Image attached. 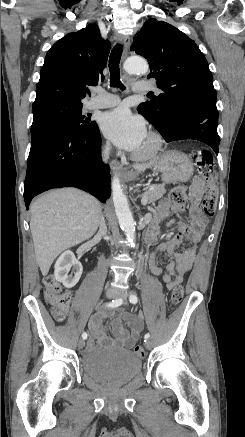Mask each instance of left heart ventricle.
I'll return each mask as SVG.
<instances>
[{
	"mask_svg": "<svg viewBox=\"0 0 245 437\" xmlns=\"http://www.w3.org/2000/svg\"><path fill=\"white\" fill-rule=\"evenodd\" d=\"M150 146V143L147 139V137L145 138L144 142L142 143L141 147L138 149L137 152H144L146 151Z\"/></svg>",
	"mask_w": 245,
	"mask_h": 437,
	"instance_id": "left-heart-ventricle-1",
	"label": "left heart ventricle"
}]
</instances>
